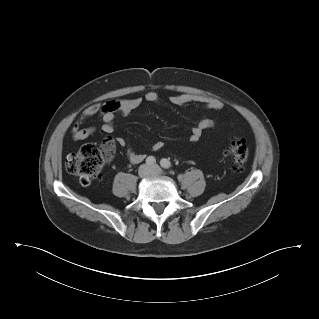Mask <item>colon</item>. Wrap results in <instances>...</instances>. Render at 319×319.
Returning a JSON list of instances; mask_svg holds the SVG:
<instances>
[{
	"instance_id": "obj_1",
	"label": "colon",
	"mask_w": 319,
	"mask_h": 319,
	"mask_svg": "<svg viewBox=\"0 0 319 319\" xmlns=\"http://www.w3.org/2000/svg\"><path fill=\"white\" fill-rule=\"evenodd\" d=\"M114 144L111 139L100 146L87 144L67 156L65 165L68 172L78 177L82 185H89L100 176L104 163L111 157ZM249 148L240 138H232L225 151L233 170L241 171L248 159Z\"/></svg>"
}]
</instances>
